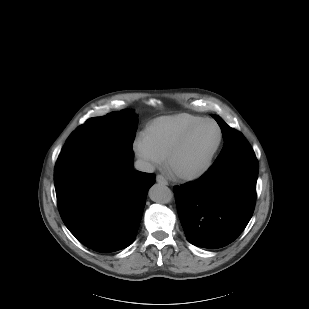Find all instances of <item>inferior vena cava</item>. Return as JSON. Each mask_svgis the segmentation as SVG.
Listing matches in <instances>:
<instances>
[{"label":"inferior vena cava","mask_w":309,"mask_h":309,"mask_svg":"<svg viewBox=\"0 0 309 309\" xmlns=\"http://www.w3.org/2000/svg\"><path fill=\"white\" fill-rule=\"evenodd\" d=\"M134 166L137 170L148 172V173H152L155 170V167L150 162L142 160V159H138L134 163Z\"/></svg>","instance_id":"obj_1"}]
</instances>
